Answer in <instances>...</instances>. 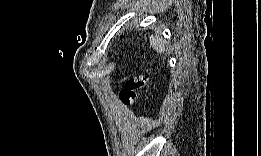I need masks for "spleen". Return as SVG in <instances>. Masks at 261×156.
<instances>
[{"label": "spleen", "mask_w": 261, "mask_h": 156, "mask_svg": "<svg viewBox=\"0 0 261 156\" xmlns=\"http://www.w3.org/2000/svg\"><path fill=\"white\" fill-rule=\"evenodd\" d=\"M149 41L152 48L158 53L161 54L165 52V41L159 35H151Z\"/></svg>", "instance_id": "3e777b00"}]
</instances>
